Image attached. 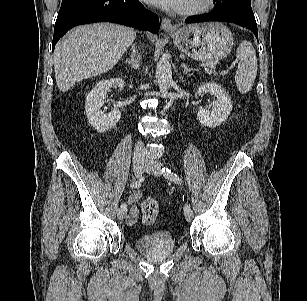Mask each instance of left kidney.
I'll use <instances>...</instances> for the list:
<instances>
[{
  "label": "left kidney",
  "instance_id": "left-kidney-1",
  "mask_svg": "<svg viewBox=\"0 0 307 301\" xmlns=\"http://www.w3.org/2000/svg\"><path fill=\"white\" fill-rule=\"evenodd\" d=\"M209 93L216 97V101L212 104L211 110L200 109L197 119L203 126L209 128L220 126L230 115L232 111V101L228 93L217 83L209 82L198 88L195 93Z\"/></svg>",
  "mask_w": 307,
  "mask_h": 301
}]
</instances>
